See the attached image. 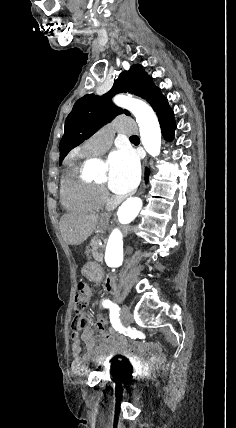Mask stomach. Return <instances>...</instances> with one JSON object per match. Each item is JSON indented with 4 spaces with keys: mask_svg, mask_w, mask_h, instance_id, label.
<instances>
[{
    "mask_svg": "<svg viewBox=\"0 0 236 428\" xmlns=\"http://www.w3.org/2000/svg\"><path fill=\"white\" fill-rule=\"evenodd\" d=\"M81 275L83 279H87L88 283H92L95 287L100 286L104 281V271L93 260L86 261Z\"/></svg>",
    "mask_w": 236,
    "mask_h": 428,
    "instance_id": "stomach-1",
    "label": "stomach"
}]
</instances>
